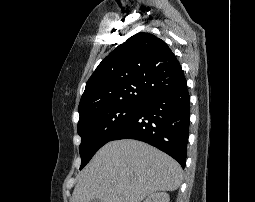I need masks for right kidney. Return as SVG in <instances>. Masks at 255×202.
Listing matches in <instances>:
<instances>
[{"label": "right kidney", "mask_w": 255, "mask_h": 202, "mask_svg": "<svg viewBox=\"0 0 255 202\" xmlns=\"http://www.w3.org/2000/svg\"><path fill=\"white\" fill-rule=\"evenodd\" d=\"M169 195L165 192H157L149 195L144 202H169Z\"/></svg>", "instance_id": "1"}]
</instances>
